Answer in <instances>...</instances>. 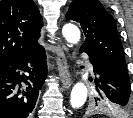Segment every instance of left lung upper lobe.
Listing matches in <instances>:
<instances>
[{"label": "left lung upper lobe", "instance_id": "obj_1", "mask_svg": "<svg viewBox=\"0 0 133 118\" xmlns=\"http://www.w3.org/2000/svg\"><path fill=\"white\" fill-rule=\"evenodd\" d=\"M66 19L81 24L86 37L81 50L95 53L128 76L123 46L118 37L114 18L100 1L74 0L66 14ZM95 100L101 102L103 107L111 108L103 99Z\"/></svg>", "mask_w": 133, "mask_h": 118}]
</instances>
